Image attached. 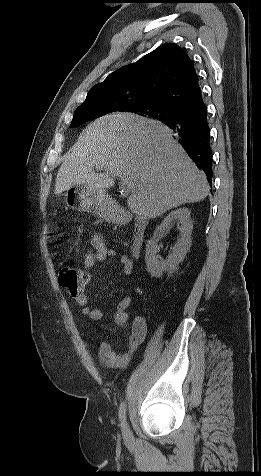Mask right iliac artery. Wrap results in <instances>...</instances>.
Returning a JSON list of instances; mask_svg holds the SVG:
<instances>
[{"mask_svg": "<svg viewBox=\"0 0 261 476\" xmlns=\"http://www.w3.org/2000/svg\"><path fill=\"white\" fill-rule=\"evenodd\" d=\"M119 418L121 420V424L124 425L126 420V404L124 402L121 403L119 408Z\"/></svg>", "mask_w": 261, "mask_h": 476, "instance_id": "82829eb1", "label": "right iliac artery"}]
</instances>
